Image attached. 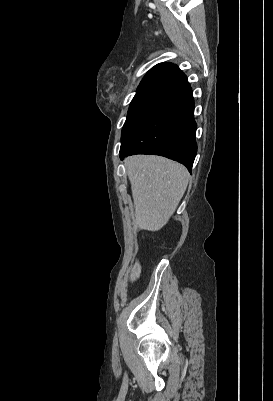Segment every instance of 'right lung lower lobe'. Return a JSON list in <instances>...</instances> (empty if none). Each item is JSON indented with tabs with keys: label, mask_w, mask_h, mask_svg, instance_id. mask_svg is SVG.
Returning <instances> with one entry per match:
<instances>
[{
	"label": "right lung lower lobe",
	"mask_w": 273,
	"mask_h": 401,
	"mask_svg": "<svg viewBox=\"0 0 273 401\" xmlns=\"http://www.w3.org/2000/svg\"><path fill=\"white\" fill-rule=\"evenodd\" d=\"M196 122L191 87L169 100L147 118L121 146L120 158L154 154L178 161L191 171L196 153Z\"/></svg>",
	"instance_id": "obj_1"
}]
</instances>
